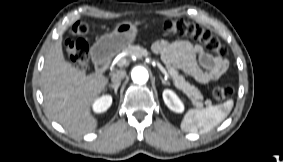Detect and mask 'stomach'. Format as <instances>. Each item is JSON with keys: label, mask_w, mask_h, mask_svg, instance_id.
<instances>
[{"label": "stomach", "mask_w": 283, "mask_h": 162, "mask_svg": "<svg viewBox=\"0 0 283 162\" xmlns=\"http://www.w3.org/2000/svg\"><path fill=\"white\" fill-rule=\"evenodd\" d=\"M137 33V23L131 21L119 22L110 33L97 40L92 51L98 59L108 58L129 47L135 41Z\"/></svg>", "instance_id": "0dacf381"}]
</instances>
